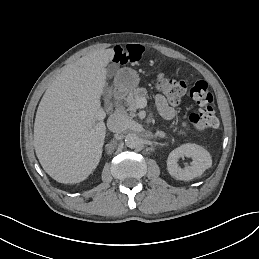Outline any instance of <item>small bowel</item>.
<instances>
[{"instance_id":"obj_1","label":"small bowel","mask_w":259,"mask_h":259,"mask_svg":"<svg viewBox=\"0 0 259 259\" xmlns=\"http://www.w3.org/2000/svg\"><path fill=\"white\" fill-rule=\"evenodd\" d=\"M144 48L139 44H130L125 46H115L112 50L113 61L118 64L137 62L141 59ZM156 105L160 115L166 120L176 118V112L168 100L161 94L156 96Z\"/></svg>"}]
</instances>
